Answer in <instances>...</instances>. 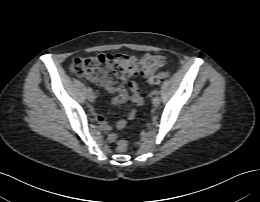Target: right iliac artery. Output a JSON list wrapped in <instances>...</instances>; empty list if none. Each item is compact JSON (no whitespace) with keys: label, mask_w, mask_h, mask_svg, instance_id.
I'll use <instances>...</instances> for the list:
<instances>
[{"label":"right iliac artery","mask_w":260,"mask_h":202,"mask_svg":"<svg viewBox=\"0 0 260 202\" xmlns=\"http://www.w3.org/2000/svg\"><path fill=\"white\" fill-rule=\"evenodd\" d=\"M88 93H92V89L90 87L87 88Z\"/></svg>","instance_id":"1"}]
</instances>
